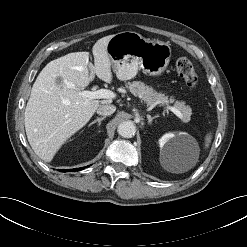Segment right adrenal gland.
<instances>
[{
	"label": "right adrenal gland",
	"mask_w": 247,
	"mask_h": 247,
	"mask_svg": "<svg viewBox=\"0 0 247 247\" xmlns=\"http://www.w3.org/2000/svg\"><path fill=\"white\" fill-rule=\"evenodd\" d=\"M105 118H106L105 116H104V117H99V118H97L96 120H94L93 122H91V123L89 124V127H90L91 125L95 124V123H98V126H100V125H101V121H103Z\"/></svg>",
	"instance_id": "2a0ac1e0"
}]
</instances>
